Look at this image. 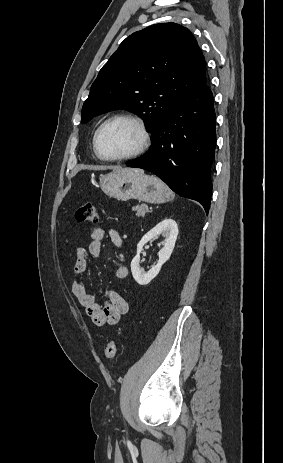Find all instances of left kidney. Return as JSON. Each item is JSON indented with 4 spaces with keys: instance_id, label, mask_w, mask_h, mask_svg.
<instances>
[{
    "instance_id": "1",
    "label": "left kidney",
    "mask_w": 283,
    "mask_h": 463,
    "mask_svg": "<svg viewBox=\"0 0 283 463\" xmlns=\"http://www.w3.org/2000/svg\"><path fill=\"white\" fill-rule=\"evenodd\" d=\"M160 234L165 237V241L163 248L158 252V263L155 266H152L148 272H144L140 268V253L143 249V246L147 242L159 236ZM177 236L178 225L173 219L169 218L158 223L141 238L137 244V254L131 262V272L133 278L138 284L146 285L158 275L162 265L170 258L172 254Z\"/></svg>"
}]
</instances>
